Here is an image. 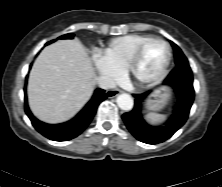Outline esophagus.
<instances>
[{"mask_svg":"<svg viewBox=\"0 0 222 187\" xmlns=\"http://www.w3.org/2000/svg\"><path fill=\"white\" fill-rule=\"evenodd\" d=\"M120 93L119 89H110L106 91V96L108 98L116 97Z\"/></svg>","mask_w":222,"mask_h":187,"instance_id":"34e87169","label":"esophagus"}]
</instances>
